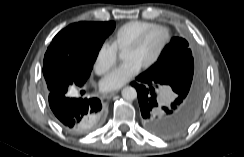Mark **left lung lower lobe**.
<instances>
[{
  "label": "left lung lower lobe",
  "instance_id": "0a47b994",
  "mask_svg": "<svg viewBox=\"0 0 244 157\" xmlns=\"http://www.w3.org/2000/svg\"><path fill=\"white\" fill-rule=\"evenodd\" d=\"M136 80L131 85L137 90L144 127L163 138L176 137L185 132L198 114L201 97L188 98L176 94L171 103L163 105L159 92L166 84L162 78L144 72Z\"/></svg>",
  "mask_w": 244,
  "mask_h": 157
}]
</instances>
